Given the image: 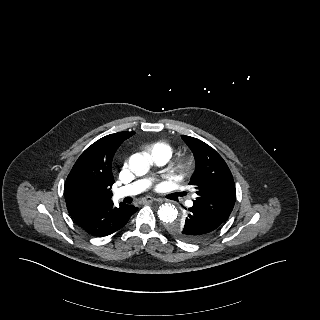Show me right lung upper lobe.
Wrapping results in <instances>:
<instances>
[{"mask_svg":"<svg viewBox=\"0 0 320 320\" xmlns=\"http://www.w3.org/2000/svg\"><path fill=\"white\" fill-rule=\"evenodd\" d=\"M132 135L134 132L107 135L81 154L64 186L69 214L73 215L111 201L110 188L114 183L112 159L118 147Z\"/></svg>","mask_w":320,"mask_h":320,"instance_id":"cb5924a9","label":"right lung upper lobe"}]
</instances>
